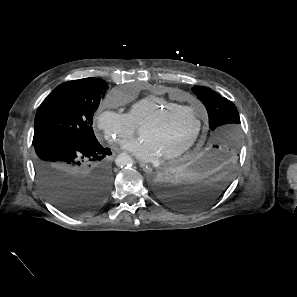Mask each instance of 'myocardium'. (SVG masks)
<instances>
[{
    "instance_id": "1",
    "label": "myocardium",
    "mask_w": 297,
    "mask_h": 297,
    "mask_svg": "<svg viewBox=\"0 0 297 297\" xmlns=\"http://www.w3.org/2000/svg\"><path fill=\"white\" fill-rule=\"evenodd\" d=\"M176 111H192L196 117V127L193 134L188 139V141L177 150L164 155L163 160H174L182 156L197 142L202 132V128H203L202 114L199 108L190 106V105H173V106L163 108L157 113H155L153 116L148 118L141 127H148L150 125L156 124L159 121H161L165 116Z\"/></svg>"
}]
</instances>
